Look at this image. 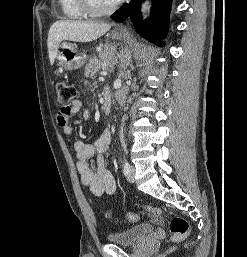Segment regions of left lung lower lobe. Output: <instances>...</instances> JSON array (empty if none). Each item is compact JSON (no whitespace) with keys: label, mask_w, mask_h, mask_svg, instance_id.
Instances as JSON below:
<instances>
[{"label":"left lung lower lobe","mask_w":247,"mask_h":257,"mask_svg":"<svg viewBox=\"0 0 247 257\" xmlns=\"http://www.w3.org/2000/svg\"><path fill=\"white\" fill-rule=\"evenodd\" d=\"M142 0H131L129 4L123 5L120 9L111 15L115 21L122 22L130 16L135 30L138 34L153 42L158 46H162L160 41L162 35L167 31L169 13L172 0H153L152 1V20L149 28L141 21L140 6Z\"/></svg>","instance_id":"left-lung-lower-lobe-1"}]
</instances>
